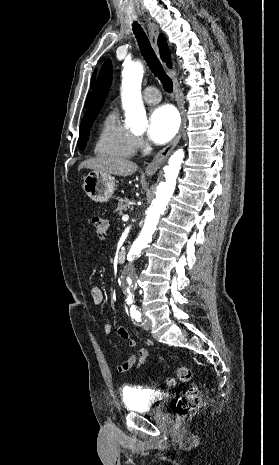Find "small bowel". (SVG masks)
Masks as SVG:
<instances>
[{
  "label": "small bowel",
  "instance_id": "obj_1",
  "mask_svg": "<svg viewBox=\"0 0 279 465\" xmlns=\"http://www.w3.org/2000/svg\"><path fill=\"white\" fill-rule=\"evenodd\" d=\"M92 302L95 305H100L103 302L104 295L103 291L98 287L94 286L90 292ZM102 328L105 334H110L112 331V326L109 321H102ZM118 335L127 341V345L130 348H136L137 342L130 336V333L123 327L119 328L117 331ZM149 357V351L146 348H137L135 352L132 353L128 358L122 360L117 365V370L120 373H126L132 371L136 368L141 367Z\"/></svg>",
  "mask_w": 279,
  "mask_h": 465
}]
</instances>
